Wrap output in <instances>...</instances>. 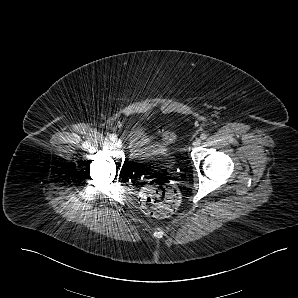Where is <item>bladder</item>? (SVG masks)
<instances>
[{
	"mask_svg": "<svg viewBox=\"0 0 298 298\" xmlns=\"http://www.w3.org/2000/svg\"><path fill=\"white\" fill-rule=\"evenodd\" d=\"M130 156L134 160L152 163H165L174 160L169 143L157 140L146 125L136 123L128 137Z\"/></svg>",
	"mask_w": 298,
	"mask_h": 298,
	"instance_id": "obj_1",
	"label": "bladder"
}]
</instances>
